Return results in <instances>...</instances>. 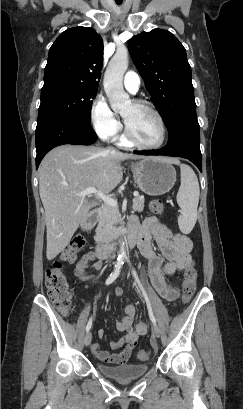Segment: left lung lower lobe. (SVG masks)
I'll use <instances>...</instances> for the list:
<instances>
[{
	"mask_svg": "<svg viewBox=\"0 0 243 409\" xmlns=\"http://www.w3.org/2000/svg\"><path fill=\"white\" fill-rule=\"evenodd\" d=\"M140 155L178 156L189 159L202 172L200 152V126L196 110L183 114L169 131L166 146L159 150L134 151Z\"/></svg>",
	"mask_w": 243,
	"mask_h": 409,
	"instance_id": "0a47b994",
	"label": "left lung lower lobe"
}]
</instances>
